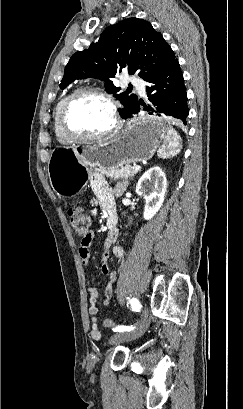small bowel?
<instances>
[{"label": "small bowel", "instance_id": "c3829d8e", "mask_svg": "<svg viewBox=\"0 0 243 409\" xmlns=\"http://www.w3.org/2000/svg\"><path fill=\"white\" fill-rule=\"evenodd\" d=\"M125 185L119 184L116 188L108 186L104 180L96 176L92 181V188L96 194V199L94 200L95 205H99L102 210L107 213L113 212L115 214V196L119 195ZM91 214L96 215V210H92ZM93 234L88 233L81 241L79 254L81 257L82 264L87 266L90 263L91 250L90 245L92 241ZM118 238V230L115 227L112 231H108V235L105 241V251L102 256V266L101 271L103 274L108 275V280L104 289V298L102 305L104 307L109 306L112 298V288L117 279V273L110 269L108 265V257L110 250L112 254L121 261L124 257V247L120 244H116ZM89 291V314L91 321L90 335L94 340L101 339V331L99 328V318H98V308L97 301L99 298V289L97 287H88Z\"/></svg>", "mask_w": 243, "mask_h": 409}]
</instances>
